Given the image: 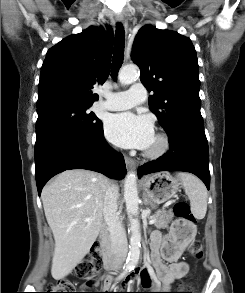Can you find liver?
<instances>
[{
	"instance_id": "obj_1",
	"label": "liver",
	"mask_w": 245,
	"mask_h": 293,
	"mask_svg": "<svg viewBox=\"0 0 245 293\" xmlns=\"http://www.w3.org/2000/svg\"><path fill=\"white\" fill-rule=\"evenodd\" d=\"M110 181L83 169L66 170L46 185L41 199L55 240L51 274L61 280L88 254L103 222Z\"/></svg>"
}]
</instances>
